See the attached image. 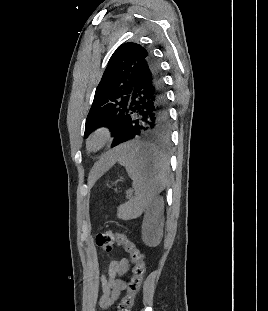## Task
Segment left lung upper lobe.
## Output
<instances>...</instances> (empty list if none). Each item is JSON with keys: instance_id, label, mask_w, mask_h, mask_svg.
<instances>
[{"instance_id": "1", "label": "left lung upper lobe", "mask_w": 268, "mask_h": 311, "mask_svg": "<svg viewBox=\"0 0 268 311\" xmlns=\"http://www.w3.org/2000/svg\"><path fill=\"white\" fill-rule=\"evenodd\" d=\"M150 55L147 48L132 42L116 49L96 89L86 119L85 137L101 126L108 127L112 136L117 134L127 114L139 66Z\"/></svg>"}]
</instances>
